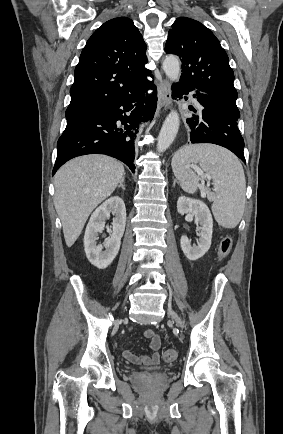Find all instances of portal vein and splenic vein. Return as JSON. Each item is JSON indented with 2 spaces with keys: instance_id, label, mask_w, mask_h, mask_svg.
Segmentation results:
<instances>
[{
  "instance_id": "18ae733b",
  "label": "portal vein and splenic vein",
  "mask_w": 283,
  "mask_h": 434,
  "mask_svg": "<svg viewBox=\"0 0 283 434\" xmlns=\"http://www.w3.org/2000/svg\"><path fill=\"white\" fill-rule=\"evenodd\" d=\"M200 175H201L202 177H206L207 179H210V176H204L202 172H200Z\"/></svg>"
}]
</instances>
